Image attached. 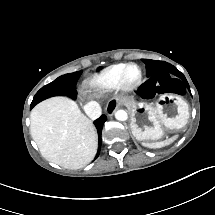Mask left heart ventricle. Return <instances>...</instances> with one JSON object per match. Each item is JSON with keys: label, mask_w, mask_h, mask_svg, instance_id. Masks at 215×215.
<instances>
[{"label": "left heart ventricle", "mask_w": 215, "mask_h": 215, "mask_svg": "<svg viewBox=\"0 0 215 215\" xmlns=\"http://www.w3.org/2000/svg\"><path fill=\"white\" fill-rule=\"evenodd\" d=\"M124 78L128 81L134 76V70L132 68H127L123 70Z\"/></svg>", "instance_id": "b2bd125f"}]
</instances>
